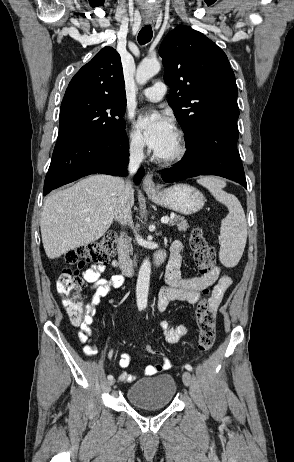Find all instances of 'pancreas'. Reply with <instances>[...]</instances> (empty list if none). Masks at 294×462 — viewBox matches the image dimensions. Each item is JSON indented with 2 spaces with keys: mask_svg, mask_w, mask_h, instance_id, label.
<instances>
[{
  "mask_svg": "<svg viewBox=\"0 0 294 462\" xmlns=\"http://www.w3.org/2000/svg\"><path fill=\"white\" fill-rule=\"evenodd\" d=\"M174 224H177L178 228L180 231H186L189 226L187 221L184 219V217H180L176 215L173 220L170 221L169 225L172 226Z\"/></svg>",
  "mask_w": 294,
  "mask_h": 462,
  "instance_id": "pancreas-1",
  "label": "pancreas"
}]
</instances>
